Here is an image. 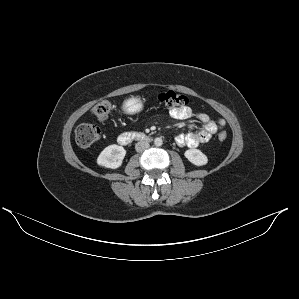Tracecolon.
<instances>
[{
  "mask_svg": "<svg viewBox=\"0 0 299 299\" xmlns=\"http://www.w3.org/2000/svg\"><path fill=\"white\" fill-rule=\"evenodd\" d=\"M159 105L164 109H172L182 107L187 104L186 96L172 91H161L156 95ZM111 111V103L109 100L104 99L97 102L92 108L93 116L98 120H106ZM100 137L99 128L90 123H83L77 126L75 130V140L78 145L87 147L95 143ZM227 138L226 132H220L218 139L224 141Z\"/></svg>",
  "mask_w": 299,
  "mask_h": 299,
  "instance_id": "1",
  "label": "colon"
}]
</instances>
